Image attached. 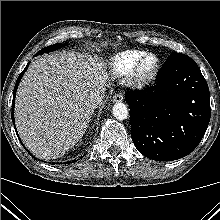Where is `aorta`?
Here are the masks:
<instances>
[{"label": "aorta", "instance_id": "aorta-1", "mask_svg": "<svg viewBox=\"0 0 220 220\" xmlns=\"http://www.w3.org/2000/svg\"><path fill=\"white\" fill-rule=\"evenodd\" d=\"M114 117L118 120H125L128 117L129 111L124 103H116L112 108Z\"/></svg>", "mask_w": 220, "mask_h": 220}]
</instances>
